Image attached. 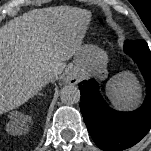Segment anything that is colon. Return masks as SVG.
Segmentation results:
<instances>
[{
	"label": "colon",
	"instance_id": "colon-1",
	"mask_svg": "<svg viewBox=\"0 0 151 151\" xmlns=\"http://www.w3.org/2000/svg\"><path fill=\"white\" fill-rule=\"evenodd\" d=\"M98 23H99V25H101V26H105V25L107 24V21H106L105 17L101 16V17L98 18ZM113 34H114L115 36L118 35V33H117L116 31H114Z\"/></svg>",
	"mask_w": 151,
	"mask_h": 151
}]
</instances>
